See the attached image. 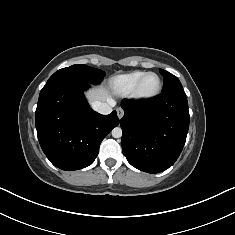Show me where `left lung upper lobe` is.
I'll return each instance as SVG.
<instances>
[{"label":"left lung upper lobe","mask_w":235,"mask_h":235,"mask_svg":"<svg viewBox=\"0 0 235 235\" xmlns=\"http://www.w3.org/2000/svg\"><path fill=\"white\" fill-rule=\"evenodd\" d=\"M160 73L163 75L164 80L162 93L173 90H183L182 84L176 76L163 69L160 70Z\"/></svg>","instance_id":"5c2ea615"}]
</instances>
